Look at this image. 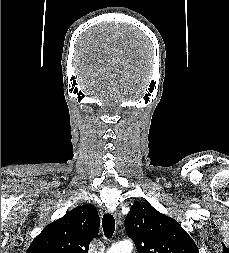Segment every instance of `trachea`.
Wrapping results in <instances>:
<instances>
[{
	"mask_svg": "<svg viewBox=\"0 0 229 253\" xmlns=\"http://www.w3.org/2000/svg\"><path fill=\"white\" fill-rule=\"evenodd\" d=\"M102 227L106 238L110 239L115 230V219L111 214H104L102 219Z\"/></svg>",
	"mask_w": 229,
	"mask_h": 253,
	"instance_id": "1",
	"label": "trachea"
}]
</instances>
